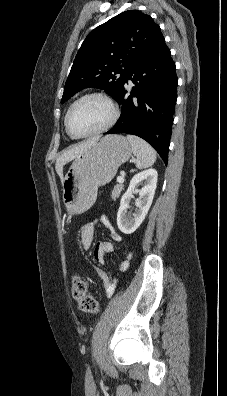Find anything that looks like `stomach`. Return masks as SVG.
<instances>
[{
  "label": "stomach",
  "mask_w": 227,
  "mask_h": 396,
  "mask_svg": "<svg viewBox=\"0 0 227 396\" xmlns=\"http://www.w3.org/2000/svg\"><path fill=\"white\" fill-rule=\"evenodd\" d=\"M132 147L121 135L105 136L75 158L66 173L63 200L70 214L90 209L96 201L98 188L109 183L119 166L129 160Z\"/></svg>",
  "instance_id": "obj_1"
}]
</instances>
